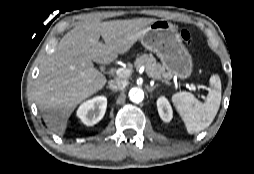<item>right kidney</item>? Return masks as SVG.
Wrapping results in <instances>:
<instances>
[{
	"instance_id": "obj_1",
	"label": "right kidney",
	"mask_w": 254,
	"mask_h": 174,
	"mask_svg": "<svg viewBox=\"0 0 254 174\" xmlns=\"http://www.w3.org/2000/svg\"><path fill=\"white\" fill-rule=\"evenodd\" d=\"M106 108L107 98L97 96L82 103L77 110V116L85 125L93 126L103 118Z\"/></svg>"
}]
</instances>
